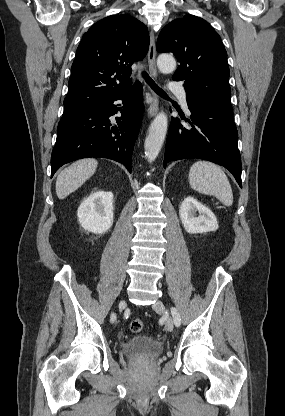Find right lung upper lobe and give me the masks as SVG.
<instances>
[{
  "instance_id": "1",
  "label": "right lung upper lobe",
  "mask_w": 285,
  "mask_h": 416,
  "mask_svg": "<svg viewBox=\"0 0 285 416\" xmlns=\"http://www.w3.org/2000/svg\"><path fill=\"white\" fill-rule=\"evenodd\" d=\"M148 47V29L136 18L112 15L98 21L77 48L64 107L103 103L131 88V65Z\"/></svg>"
}]
</instances>
